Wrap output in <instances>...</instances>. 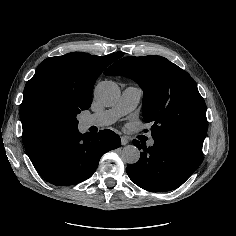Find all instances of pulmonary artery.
Returning a JSON list of instances; mask_svg holds the SVG:
<instances>
[{
  "instance_id": "e3ab8cb5",
  "label": "pulmonary artery",
  "mask_w": 236,
  "mask_h": 236,
  "mask_svg": "<svg viewBox=\"0 0 236 236\" xmlns=\"http://www.w3.org/2000/svg\"><path fill=\"white\" fill-rule=\"evenodd\" d=\"M143 96V91L139 86L129 85L127 86L117 103L108 110H104L95 114H91L87 117V123L89 126H107L117 121L121 116L134 110L139 104ZM149 145H153V141L149 142Z\"/></svg>"
}]
</instances>
